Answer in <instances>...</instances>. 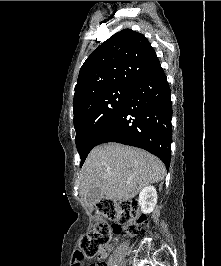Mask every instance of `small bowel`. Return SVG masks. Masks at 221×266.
<instances>
[{
  "instance_id": "1",
  "label": "small bowel",
  "mask_w": 221,
  "mask_h": 266,
  "mask_svg": "<svg viewBox=\"0 0 221 266\" xmlns=\"http://www.w3.org/2000/svg\"><path fill=\"white\" fill-rule=\"evenodd\" d=\"M107 254H108V251L104 250L102 254L100 255V258L105 259L107 257ZM84 256H85L84 252H79V251L72 252V257H73L72 266H82L83 259L80 257H84Z\"/></svg>"
}]
</instances>
